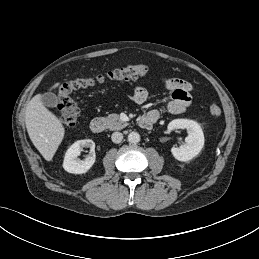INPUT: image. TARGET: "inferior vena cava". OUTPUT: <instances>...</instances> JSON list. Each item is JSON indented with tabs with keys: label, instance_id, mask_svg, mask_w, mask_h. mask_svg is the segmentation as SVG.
<instances>
[{
	"label": "inferior vena cava",
	"instance_id": "obj_1",
	"mask_svg": "<svg viewBox=\"0 0 259 259\" xmlns=\"http://www.w3.org/2000/svg\"><path fill=\"white\" fill-rule=\"evenodd\" d=\"M111 139L114 143H120L123 139V134L121 132H114Z\"/></svg>",
	"mask_w": 259,
	"mask_h": 259
}]
</instances>
